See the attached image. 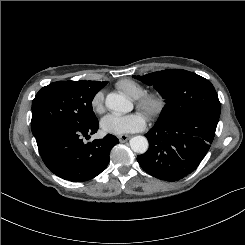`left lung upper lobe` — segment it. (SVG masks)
<instances>
[{
  "label": "left lung upper lobe",
  "mask_w": 245,
  "mask_h": 245,
  "mask_svg": "<svg viewBox=\"0 0 245 245\" xmlns=\"http://www.w3.org/2000/svg\"><path fill=\"white\" fill-rule=\"evenodd\" d=\"M133 77L153 85L166 101L156 126L178 121L195 112H211L220 116L221 105L213 85L193 72L172 69Z\"/></svg>",
  "instance_id": "obj_1"
}]
</instances>
